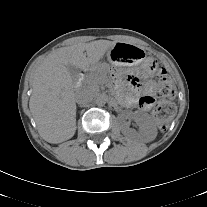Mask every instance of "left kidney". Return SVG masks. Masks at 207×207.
I'll return each instance as SVG.
<instances>
[{"label": "left kidney", "instance_id": "1", "mask_svg": "<svg viewBox=\"0 0 207 207\" xmlns=\"http://www.w3.org/2000/svg\"><path fill=\"white\" fill-rule=\"evenodd\" d=\"M133 118L139 126V135L141 139L145 142L152 141L156 138L157 129L152 120V118L146 114L139 111L134 113H122L120 115V121L122 126V133L126 136L133 135V132L129 129L128 125L125 123V119Z\"/></svg>", "mask_w": 207, "mask_h": 207}]
</instances>
